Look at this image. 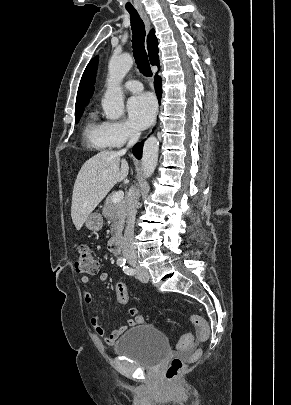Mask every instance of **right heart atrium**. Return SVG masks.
I'll list each match as a JSON object with an SVG mask.
<instances>
[{"label": "right heart atrium", "mask_w": 291, "mask_h": 405, "mask_svg": "<svg viewBox=\"0 0 291 405\" xmlns=\"http://www.w3.org/2000/svg\"><path fill=\"white\" fill-rule=\"evenodd\" d=\"M104 128L112 147H121L137 135L127 122H105Z\"/></svg>", "instance_id": "d8ad5b80"}]
</instances>
